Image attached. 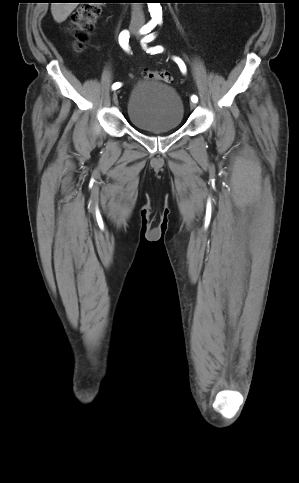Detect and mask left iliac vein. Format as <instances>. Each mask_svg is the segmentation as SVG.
Instances as JSON below:
<instances>
[{
	"instance_id": "obj_1",
	"label": "left iliac vein",
	"mask_w": 299,
	"mask_h": 483,
	"mask_svg": "<svg viewBox=\"0 0 299 483\" xmlns=\"http://www.w3.org/2000/svg\"><path fill=\"white\" fill-rule=\"evenodd\" d=\"M190 107H191V108H195V107H196V103H194V102H190Z\"/></svg>"
}]
</instances>
